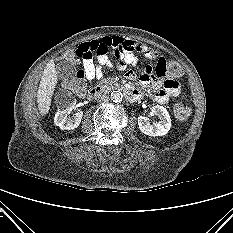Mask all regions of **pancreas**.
<instances>
[{
  "instance_id": "pancreas-1",
  "label": "pancreas",
  "mask_w": 233,
  "mask_h": 233,
  "mask_svg": "<svg viewBox=\"0 0 233 233\" xmlns=\"http://www.w3.org/2000/svg\"><path fill=\"white\" fill-rule=\"evenodd\" d=\"M113 84V80L111 78H106V79H102L99 83L98 86L102 87V88H107V87H111Z\"/></svg>"
}]
</instances>
